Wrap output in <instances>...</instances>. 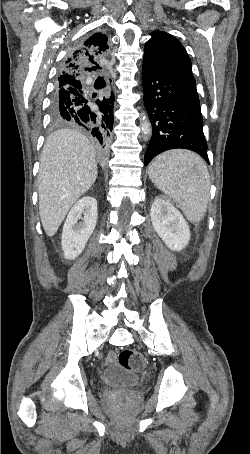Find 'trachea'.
<instances>
[{"mask_svg":"<svg viewBox=\"0 0 250 454\" xmlns=\"http://www.w3.org/2000/svg\"><path fill=\"white\" fill-rule=\"evenodd\" d=\"M98 68H99V67H96V69H98ZM97 80H98V81H101V82H103V83L105 82L103 77H98Z\"/></svg>","mask_w":250,"mask_h":454,"instance_id":"1","label":"trachea"}]
</instances>
